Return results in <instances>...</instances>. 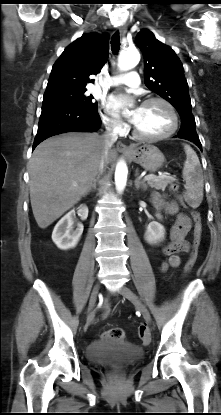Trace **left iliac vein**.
Returning a JSON list of instances; mask_svg holds the SVG:
<instances>
[{
  "instance_id": "left-iliac-vein-1",
  "label": "left iliac vein",
  "mask_w": 221,
  "mask_h": 415,
  "mask_svg": "<svg viewBox=\"0 0 221 415\" xmlns=\"http://www.w3.org/2000/svg\"><path fill=\"white\" fill-rule=\"evenodd\" d=\"M119 292L121 295L132 301L137 306V308L140 310L143 318L147 323L151 322V315L147 307L141 302V300L135 293H133L127 286H122L119 289Z\"/></svg>"
}]
</instances>
